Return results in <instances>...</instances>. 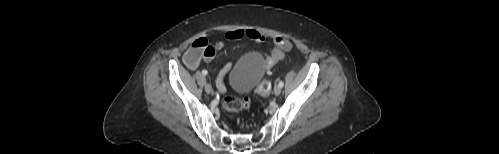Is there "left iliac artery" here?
Listing matches in <instances>:
<instances>
[{"mask_svg": "<svg viewBox=\"0 0 499 154\" xmlns=\"http://www.w3.org/2000/svg\"><path fill=\"white\" fill-rule=\"evenodd\" d=\"M278 85L282 88L284 86V82L280 81Z\"/></svg>", "mask_w": 499, "mask_h": 154, "instance_id": "left-iliac-artery-1", "label": "left iliac artery"}]
</instances>
